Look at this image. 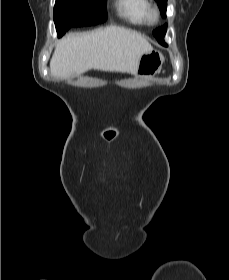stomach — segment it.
<instances>
[{
	"mask_svg": "<svg viewBox=\"0 0 229 280\" xmlns=\"http://www.w3.org/2000/svg\"><path fill=\"white\" fill-rule=\"evenodd\" d=\"M164 60L165 58L160 51L152 50L144 53L140 57L136 77H154L161 71Z\"/></svg>",
	"mask_w": 229,
	"mask_h": 280,
	"instance_id": "obj_1",
	"label": "stomach"
}]
</instances>
